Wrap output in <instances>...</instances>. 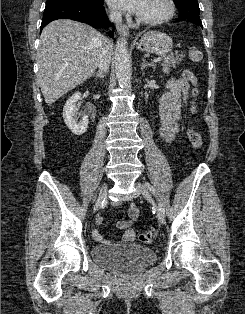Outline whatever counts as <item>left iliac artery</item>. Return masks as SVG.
<instances>
[{
  "mask_svg": "<svg viewBox=\"0 0 245 314\" xmlns=\"http://www.w3.org/2000/svg\"><path fill=\"white\" fill-rule=\"evenodd\" d=\"M144 186L148 188L154 195H156V190L150 183L145 182ZM158 206H159L160 211L165 215V209L163 205L159 202Z\"/></svg>",
  "mask_w": 245,
  "mask_h": 314,
  "instance_id": "1",
  "label": "left iliac artery"
}]
</instances>
